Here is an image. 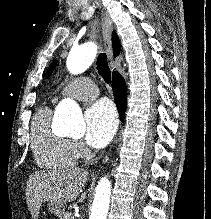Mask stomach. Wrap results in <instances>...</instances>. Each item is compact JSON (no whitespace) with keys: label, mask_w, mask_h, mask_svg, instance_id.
<instances>
[{"label":"stomach","mask_w":211,"mask_h":219,"mask_svg":"<svg viewBox=\"0 0 211 219\" xmlns=\"http://www.w3.org/2000/svg\"><path fill=\"white\" fill-rule=\"evenodd\" d=\"M47 208H48L49 212H51L52 214H54L56 216H61L64 213V208H63V205H61V204L49 202L47 204Z\"/></svg>","instance_id":"stomach-1"}]
</instances>
